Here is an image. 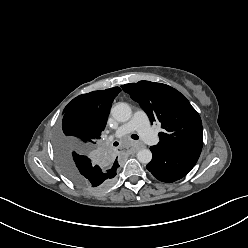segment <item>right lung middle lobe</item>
<instances>
[{"instance_id": "dd1d6c3e", "label": "right lung middle lobe", "mask_w": 248, "mask_h": 248, "mask_svg": "<svg viewBox=\"0 0 248 248\" xmlns=\"http://www.w3.org/2000/svg\"><path fill=\"white\" fill-rule=\"evenodd\" d=\"M98 138L99 134L80 111L65 113L62 128L56 134V149L63 172L74 183L88 190L106 189L116 176V169H112L108 161L92 153L93 143ZM72 150L74 152L71 153ZM74 153L87 156L83 167L74 163Z\"/></svg>"}]
</instances>
